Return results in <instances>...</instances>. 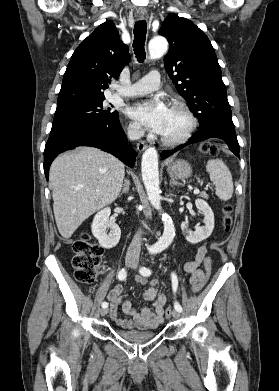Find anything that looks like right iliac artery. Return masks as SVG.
<instances>
[{
	"mask_svg": "<svg viewBox=\"0 0 279 391\" xmlns=\"http://www.w3.org/2000/svg\"><path fill=\"white\" fill-rule=\"evenodd\" d=\"M127 276V272L124 268H122L119 273H118V279L123 281ZM102 307L103 308H107L108 307V303L107 302H103L102 303Z\"/></svg>",
	"mask_w": 279,
	"mask_h": 391,
	"instance_id": "right-iliac-artery-1",
	"label": "right iliac artery"
}]
</instances>
